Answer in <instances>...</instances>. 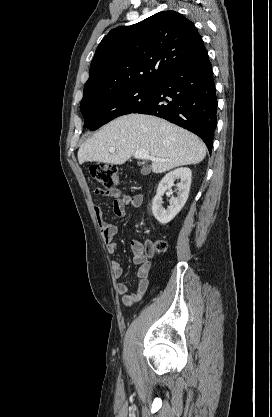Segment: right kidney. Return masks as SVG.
<instances>
[{"label": "right kidney", "instance_id": "obj_1", "mask_svg": "<svg viewBox=\"0 0 272 417\" xmlns=\"http://www.w3.org/2000/svg\"><path fill=\"white\" fill-rule=\"evenodd\" d=\"M191 177V170L186 167H181L169 172L160 181L156 196L152 202V212L158 222L167 224L181 211L189 196ZM176 179H180V182L177 184V197H172L170 199V206L165 209L162 206V196L167 189L174 185Z\"/></svg>", "mask_w": 272, "mask_h": 417}]
</instances>
